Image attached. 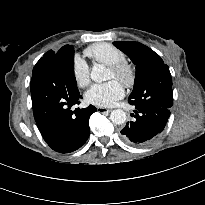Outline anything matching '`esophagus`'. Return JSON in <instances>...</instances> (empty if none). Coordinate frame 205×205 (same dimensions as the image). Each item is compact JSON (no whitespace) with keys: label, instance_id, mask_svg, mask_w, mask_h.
Here are the masks:
<instances>
[{"label":"esophagus","instance_id":"obj_1","mask_svg":"<svg viewBox=\"0 0 205 205\" xmlns=\"http://www.w3.org/2000/svg\"><path fill=\"white\" fill-rule=\"evenodd\" d=\"M97 111L100 113H109L111 112V109L104 108V107H97Z\"/></svg>","mask_w":205,"mask_h":205}]
</instances>
